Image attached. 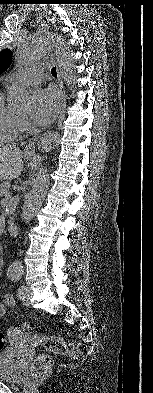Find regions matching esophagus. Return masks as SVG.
<instances>
[{"label": "esophagus", "mask_w": 153, "mask_h": 393, "mask_svg": "<svg viewBox=\"0 0 153 393\" xmlns=\"http://www.w3.org/2000/svg\"><path fill=\"white\" fill-rule=\"evenodd\" d=\"M58 83H59V87H60V91H61V96H62V105H65L66 103V93H65V88H64V84L62 79L60 78V76L58 77ZM35 149V145L34 143L29 144L28 146H26L25 151L27 153H33Z\"/></svg>", "instance_id": "obj_1"}]
</instances>
